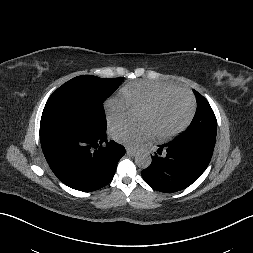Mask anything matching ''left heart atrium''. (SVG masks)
<instances>
[{"label":"left heart atrium","mask_w":253,"mask_h":253,"mask_svg":"<svg viewBox=\"0 0 253 253\" xmlns=\"http://www.w3.org/2000/svg\"><path fill=\"white\" fill-rule=\"evenodd\" d=\"M111 136L115 141L133 147L152 138L153 131L146 123L138 126L118 124L112 127Z\"/></svg>","instance_id":"obj_1"}]
</instances>
